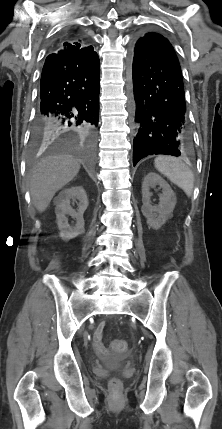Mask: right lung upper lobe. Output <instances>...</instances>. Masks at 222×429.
Returning a JSON list of instances; mask_svg holds the SVG:
<instances>
[{
  "instance_id": "1",
  "label": "right lung upper lobe",
  "mask_w": 222,
  "mask_h": 429,
  "mask_svg": "<svg viewBox=\"0 0 222 429\" xmlns=\"http://www.w3.org/2000/svg\"><path fill=\"white\" fill-rule=\"evenodd\" d=\"M65 49L75 53L77 57H88L93 54L94 49L92 46H87L84 39H79L72 34H68L62 39L58 40L56 50ZM55 50V51H56Z\"/></svg>"
}]
</instances>
